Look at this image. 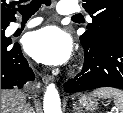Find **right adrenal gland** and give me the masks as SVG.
<instances>
[{
    "instance_id": "obj_1",
    "label": "right adrenal gland",
    "mask_w": 123,
    "mask_h": 113,
    "mask_svg": "<svg viewBox=\"0 0 123 113\" xmlns=\"http://www.w3.org/2000/svg\"><path fill=\"white\" fill-rule=\"evenodd\" d=\"M29 110H30V111H29L30 113H33L32 109H29Z\"/></svg>"
}]
</instances>
